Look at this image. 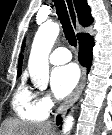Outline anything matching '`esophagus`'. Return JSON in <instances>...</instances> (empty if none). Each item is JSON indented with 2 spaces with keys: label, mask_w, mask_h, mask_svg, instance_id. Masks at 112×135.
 I'll return each mask as SVG.
<instances>
[{
  "label": "esophagus",
  "mask_w": 112,
  "mask_h": 135,
  "mask_svg": "<svg viewBox=\"0 0 112 135\" xmlns=\"http://www.w3.org/2000/svg\"><path fill=\"white\" fill-rule=\"evenodd\" d=\"M65 2L67 5V8H68V13H69L70 19H71L74 27L77 30H80V25H79V22H78V19L76 16L73 1L65 0ZM85 81H86V69L83 67L78 85L76 86L74 91L69 95V97L61 104V106L58 109V113H62L63 111H65L72 102L76 101L79 98V96L81 95L82 90L84 88Z\"/></svg>",
  "instance_id": "obj_1"
}]
</instances>
